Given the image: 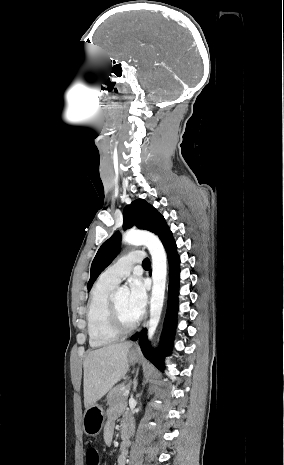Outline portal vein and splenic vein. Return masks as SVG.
<instances>
[{
  "mask_svg": "<svg viewBox=\"0 0 284 465\" xmlns=\"http://www.w3.org/2000/svg\"><path fill=\"white\" fill-rule=\"evenodd\" d=\"M130 391H125V393H123V397H127V395H129Z\"/></svg>",
  "mask_w": 284,
  "mask_h": 465,
  "instance_id": "portal-vein-and-splenic-vein-1",
  "label": "portal vein and splenic vein"
}]
</instances>
